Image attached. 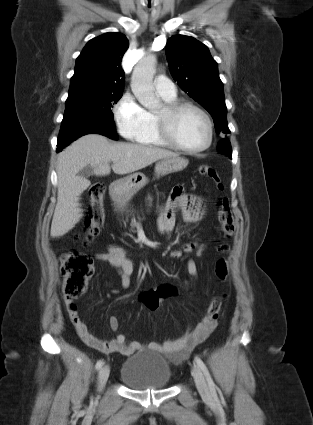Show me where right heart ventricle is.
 I'll list each match as a JSON object with an SVG mask.
<instances>
[{
	"label": "right heart ventricle",
	"instance_id": "right-heart-ventricle-1",
	"mask_svg": "<svg viewBox=\"0 0 313 425\" xmlns=\"http://www.w3.org/2000/svg\"><path fill=\"white\" fill-rule=\"evenodd\" d=\"M161 98L167 104H171V103H174L176 101V98H165V97H162V96H161ZM149 115H150V120H151L150 128H149V130L147 131L146 134H144L141 138L138 139V142L143 144V145H147V146L170 147L160 138V136L158 134L156 115L153 114V113H149Z\"/></svg>",
	"mask_w": 313,
	"mask_h": 425
}]
</instances>
